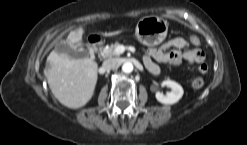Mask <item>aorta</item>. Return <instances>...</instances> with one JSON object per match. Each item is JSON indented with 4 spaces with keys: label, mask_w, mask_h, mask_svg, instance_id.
I'll return each mask as SVG.
<instances>
[{
    "label": "aorta",
    "mask_w": 247,
    "mask_h": 145,
    "mask_svg": "<svg viewBox=\"0 0 247 145\" xmlns=\"http://www.w3.org/2000/svg\"><path fill=\"white\" fill-rule=\"evenodd\" d=\"M122 71L124 73H131L133 71V64L131 62H125L122 65Z\"/></svg>",
    "instance_id": "1"
}]
</instances>
